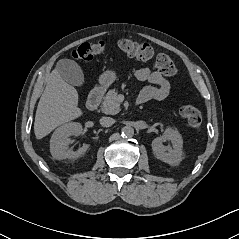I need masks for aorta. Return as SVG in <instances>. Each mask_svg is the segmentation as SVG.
<instances>
[{
	"mask_svg": "<svg viewBox=\"0 0 239 239\" xmlns=\"http://www.w3.org/2000/svg\"><path fill=\"white\" fill-rule=\"evenodd\" d=\"M122 135L128 138L133 137L134 135V129L131 126H124L122 128Z\"/></svg>",
	"mask_w": 239,
	"mask_h": 239,
	"instance_id": "1",
	"label": "aorta"
}]
</instances>
